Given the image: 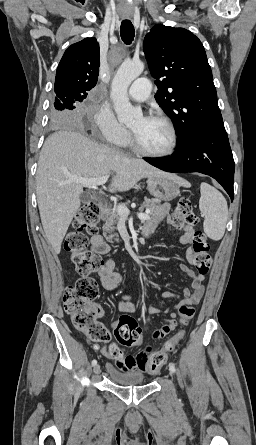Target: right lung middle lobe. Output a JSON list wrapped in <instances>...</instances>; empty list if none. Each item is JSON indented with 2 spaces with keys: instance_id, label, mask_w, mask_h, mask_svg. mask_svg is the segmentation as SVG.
<instances>
[{
  "instance_id": "dd1d6c3e",
  "label": "right lung middle lobe",
  "mask_w": 256,
  "mask_h": 445,
  "mask_svg": "<svg viewBox=\"0 0 256 445\" xmlns=\"http://www.w3.org/2000/svg\"><path fill=\"white\" fill-rule=\"evenodd\" d=\"M83 97L70 90L56 93L54 106L50 112V120L56 124L70 122L73 118L71 110L75 109L77 102L83 101Z\"/></svg>"
}]
</instances>
